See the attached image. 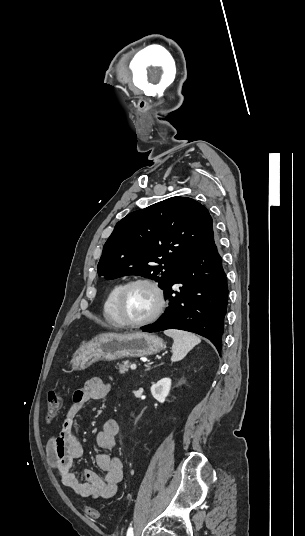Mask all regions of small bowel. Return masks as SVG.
<instances>
[{"instance_id": "c3829d8e", "label": "small bowel", "mask_w": 305, "mask_h": 536, "mask_svg": "<svg viewBox=\"0 0 305 536\" xmlns=\"http://www.w3.org/2000/svg\"><path fill=\"white\" fill-rule=\"evenodd\" d=\"M110 393V386L100 378H91L73 394L72 404L64 415L61 430L46 443V457L61 483L76 494L93 500L110 499L117 493L123 479V464L112 454L116 446L118 423L107 419L96 435V444L101 453L96 457L97 466L105 473L104 478L92 471H84L83 480L70 472L74 460L83 455V447L76 434L77 420L85 405L91 400H100Z\"/></svg>"}]
</instances>
